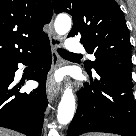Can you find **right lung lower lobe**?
I'll list each match as a JSON object with an SVG mask.
<instances>
[{
  "instance_id": "right-lung-lower-lobe-1",
  "label": "right lung lower lobe",
  "mask_w": 136,
  "mask_h": 136,
  "mask_svg": "<svg viewBox=\"0 0 136 136\" xmlns=\"http://www.w3.org/2000/svg\"><path fill=\"white\" fill-rule=\"evenodd\" d=\"M35 58V63L27 79L37 80V89L21 93V84L14 83L18 63H28ZM49 39L37 44L28 53L10 61L0 68V126L16 130L27 136H39L42 132L44 111L48 100L45 81L51 66Z\"/></svg>"
}]
</instances>
